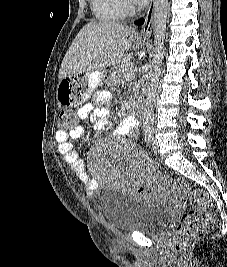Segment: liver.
I'll use <instances>...</instances> for the list:
<instances>
[{
    "label": "liver",
    "instance_id": "obj_1",
    "mask_svg": "<svg viewBox=\"0 0 227 267\" xmlns=\"http://www.w3.org/2000/svg\"><path fill=\"white\" fill-rule=\"evenodd\" d=\"M137 36L133 27L116 22H89L76 35L59 70L61 77L105 70L118 64L127 67L133 52L125 54Z\"/></svg>",
    "mask_w": 227,
    "mask_h": 267
}]
</instances>
